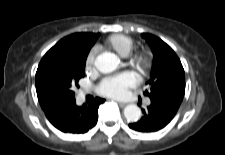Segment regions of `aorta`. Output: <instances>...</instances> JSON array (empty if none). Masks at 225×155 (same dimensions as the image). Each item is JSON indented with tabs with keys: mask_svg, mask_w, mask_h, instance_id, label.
<instances>
[{
	"mask_svg": "<svg viewBox=\"0 0 225 155\" xmlns=\"http://www.w3.org/2000/svg\"><path fill=\"white\" fill-rule=\"evenodd\" d=\"M119 59L110 54H100L95 59V67L101 73H111L119 66ZM124 116L128 122H137L141 117V109L135 105L130 104L124 108Z\"/></svg>",
	"mask_w": 225,
	"mask_h": 155,
	"instance_id": "762f6f07",
	"label": "aorta"
}]
</instances>
